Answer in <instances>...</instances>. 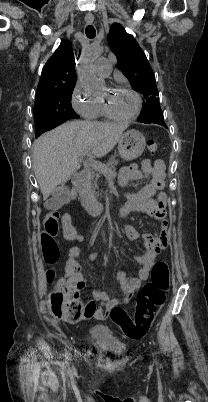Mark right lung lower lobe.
<instances>
[{
	"instance_id": "obj_1",
	"label": "right lung lower lobe",
	"mask_w": 208,
	"mask_h": 402,
	"mask_svg": "<svg viewBox=\"0 0 208 402\" xmlns=\"http://www.w3.org/2000/svg\"><path fill=\"white\" fill-rule=\"evenodd\" d=\"M62 123L63 122L61 120H57L55 118H48V119L36 121L35 122L36 130H38L40 133V134H38V136H40L42 133H44L48 130L55 128L56 126H59Z\"/></svg>"
}]
</instances>
